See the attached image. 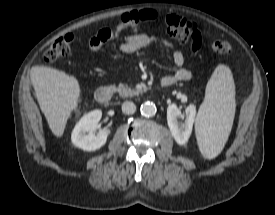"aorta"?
<instances>
[{"instance_id": "obj_1", "label": "aorta", "mask_w": 275, "mask_h": 215, "mask_svg": "<svg viewBox=\"0 0 275 215\" xmlns=\"http://www.w3.org/2000/svg\"><path fill=\"white\" fill-rule=\"evenodd\" d=\"M141 114L145 117H153L156 114L157 108L151 102H145L140 107Z\"/></svg>"}]
</instances>
